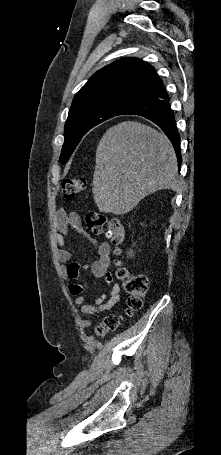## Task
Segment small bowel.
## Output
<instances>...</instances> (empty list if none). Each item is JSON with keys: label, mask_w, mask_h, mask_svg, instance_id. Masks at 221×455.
I'll return each mask as SVG.
<instances>
[{"label": "small bowel", "mask_w": 221, "mask_h": 455, "mask_svg": "<svg viewBox=\"0 0 221 455\" xmlns=\"http://www.w3.org/2000/svg\"><path fill=\"white\" fill-rule=\"evenodd\" d=\"M55 225L57 229L55 238L60 246L56 250V257L59 261L66 262L71 258L70 252L64 247L65 235L70 228L74 229L80 236L91 241L95 248L96 259L92 263L82 264L71 262L65 269L66 274L77 280L82 270H88L95 278H104L110 288L109 296L102 294L100 297L92 300L83 294V285L78 282L71 283L68 286V290L71 295L75 296L74 302L80 308V311L84 314H94L114 306L120 300V287L113 281L109 272L110 245L105 241H99L93 238L83 227L77 213L59 211L55 216Z\"/></svg>", "instance_id": "c3829d8e"}]
</instances>
